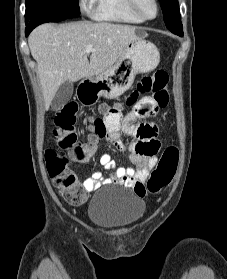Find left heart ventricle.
<instances>
[{
  "instance_id": "left-heart-ventricle-1",
  "label": "left heart ventricle",
  "mask_w": 227,
  "mask_h": 279,
  "mask_svg": "<svg viewBox=\"0 0 227 279\" xmlns=\"http://www.w3.org/2000/svg\"><path fill=\"white\" fill-rule=\"evenodd\" d=\"M141 13L147 17H152L155 14V7L152 0H138Z\"/></svg>"
}]
</instances>
